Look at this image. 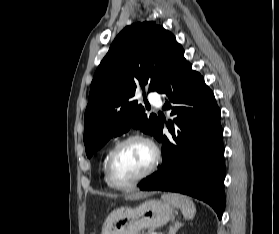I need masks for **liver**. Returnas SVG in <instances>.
<instances>
[{"label":"liver","mask_w":279,"mask_h":234,"mask_svg":"<svg viewBox=\"0 0 279 234\" xmlns=\"http://www.w3.org/2000/svg\"><path fill=\"white\" fill-rule=\"evenodd\" d=\"M147 196V194L142 193V192H136V193H132L129 194L125 197V199L127 200H135V199H141V198H145Z\"/></svg>","instance_id":"liver-1"}]
</instances>
